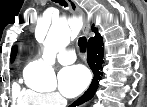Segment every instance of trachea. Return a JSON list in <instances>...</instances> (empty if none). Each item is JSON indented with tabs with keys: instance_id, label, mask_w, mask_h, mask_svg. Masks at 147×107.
<instances>
[{
	"instance_id": "trachea-1",
	"label": "trachea",
	"mask_w": 147,
	"mask_h": 107,
	"mask_svg": "<svg viewBox=\"0 0 147 107\" xmlns=\"http://www.w3.org/2000/svg\"><path fill=\"white\" fill-rule=\"evenodd\" d=\"M56 3H59L61 6L67 7L68 4L65 0H55ZM78 46L81 51H86L87 39L86 37H80L78 40Z\"/></svg>"
}]
</instances>
